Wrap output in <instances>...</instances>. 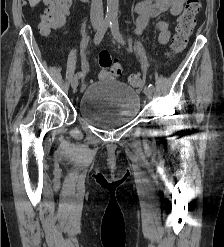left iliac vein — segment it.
<instances>
[{
	"label": "left iliac vein",
	"instance_id": "left-iliac-vein-1",
	"mask_svg": "<svg viewBox=\"0 0 224 247\" xmlns=\"http://www.w3.org/2000/svg\"><path fill=\"white\" fill-rule=\"evenodd\" d=\"M144 93L149 99H151L153 95V90L150 87L146 86L144 88Z\"/></svg>",
	"mask_w": 224,
	"mask_h": 247
}]
</instances>
